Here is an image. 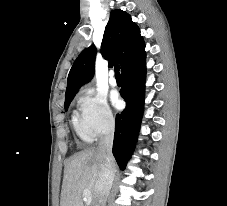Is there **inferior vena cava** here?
Wrapping results in <instances>:
<instances>
[{
    "label": "inferior vena cava",
    "mask_w": 227,
    "mask_h": 206,
    "mask_svg": "<svg viewBox=\"0 0 227 206\" xmlns=\"http://www.w3.org/2000/svg\"><path fill=\"white\" fill-rule=\"evenodd\" d=\"M114 120L111 119L100 139L98 150L102 156L101 169L96 183L97 203L96 206H105L106 199L111 190L115 173V161L112 154L114 139Z\"/></svg>",
    "instance_id": "1"
}]
</instances>
